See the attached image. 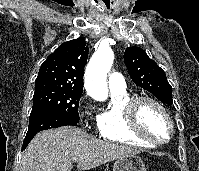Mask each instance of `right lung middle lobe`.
Listing matches in <instances>:
<instances>
[{
  "instance_id": "obj_1",
  "label": "right lung middle lobe",
  "mask_w": 199,
  "mask_h": 171,
  "mask_svg": "<svg viewBox=\"0 0 199 171\" xmlns=\"http://www.w3.org/2000/svg\"><path fill=\"white\" fill-rule=\"evenodd\" d=\"M82 91L53 84H35L31 114L55 111L79 122L78 105Z\"/></svg>"
}]
</instances>
